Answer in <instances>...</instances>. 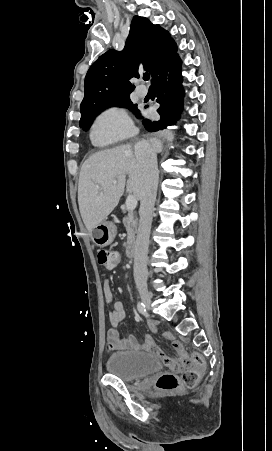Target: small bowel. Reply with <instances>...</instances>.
Segmentation results:
<instances>
[{
    "mask_svg": "<svg viewBox=\"0 0 272 451\" xmlns=\"http://www.w3.org/2000/svg\"><path fill=\"white\" fill-rule=\"evenodd\" d=\"M103 293L106 301L111 304L112 310L109 314V321L111 328L107 332V347L109 350H142L146 352H152L159 357L160 352H164L158 347L153 337L150 334L144 336V341L140 343L134 335L127 337H121L117 329L118 325L125 319V309L121 301L113 299V289L111 279L104 277L102 281ZM164 336L172 340V347L175 345L177 348H184V345L176 340L174 335L170 332L164 333Z\"/></svg>",
    "mask_w": 272,
    "mask_h": 451,
    "instance_id": "obj_1",
    "label": "small bowel"
}]
</instances>
